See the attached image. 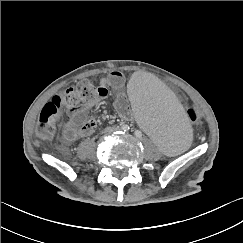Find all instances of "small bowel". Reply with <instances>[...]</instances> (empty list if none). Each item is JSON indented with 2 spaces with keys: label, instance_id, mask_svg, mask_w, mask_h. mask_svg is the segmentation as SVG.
Here are the masks:
<instances>
[{
  "label": "small bowel",
  "instance_id": "small-bowel-1",
  "mask_svg": "<svg viewBox=\"0 0 243 243\" xmlns=\"http://www.w3.org/2000/svg\"><path fill=\"white\" fill-rule=\"evenodd\" d=\"M107 85L112 86L117 91L115 109L118 115L124 120L132 118L129 99L123 91L124 77L120 72L114 71L101 80V84L96 89V97L98 99L81 108L69 111L68 120L62 134V139L65 144H70L93 133L96 122L92 118H87V113L96 103L107 97L109 92Z\"/></svg>",
  "mask_w": 243,
  "mask_h": 243
}]
</instances>
